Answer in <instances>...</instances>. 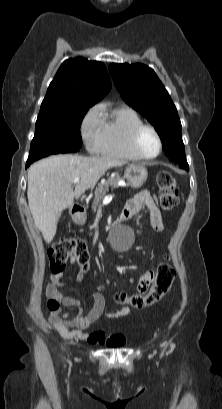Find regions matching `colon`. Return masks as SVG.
Returning <instances> with one entry per match:
<instances>
[{
  "instance_id": "obj_1",
  "label": "colon",
  "mask_w": 222,
  "mask_h": 409,
  "mask_svg": "<svg viewBox=\"0 0 222 409\" xmlns=\"http://www.w3.org/2000/svg\"><path fill=\"white\" fill-rule=\"evenodd\" d=\"M157 187L159 193V205L162 210L168 212L174 209L179 202V188L174 176L162 171L157 175ZM74 258L81 269L86 272L90 268L91 255L85 241L76 238H65L57 241L49 250L50 269L54 274L61 273L67 263ZM154 281L150 285L141 286L134 294L118 292L114 300L118 305H130L134 308H145L159 300L170 288L175 270L167 262L161 263L155 270ZM146 275V274H145ZM145 291L143 295L141 292ZM48 309L55 313L59 309V302L55 299L48 301ZM111 337L110 340H113Z\"/></svg>"
}]
</instances>
